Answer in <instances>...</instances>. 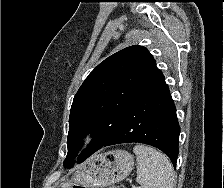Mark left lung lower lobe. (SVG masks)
Wrapping results in <instances>:
<instances>
[{
    "mask_svg": "<svg viewBox=\"0 0 224 188\" xmlns=\"http://www.w3.org/2000/svg\"><path fill=\"white\" fill-rule=\"evenodd\" d=\"M179 133L176 108L163 78L133 102L102 147L132 142L148 144L162 150L175 167Z\"/></svg>",
    "mask_w": 224,
    "mask_h": 188,
    "instance_id": "left-lung-lower-lobe-1",
    "label": "left lung lower lobe"
}]
</instances>
